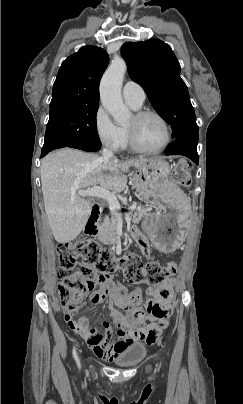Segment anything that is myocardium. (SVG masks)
Returning a JSON list of instances; mask_svg holds the SVG:
<instances>
[{
	"label": "myocardium",
	"instance_id": "obj_1",
	"mask_svg": "<svg viewBox=\"0 0 243 404\" xmlns=\"http://www.w3.org/2000/svg\"><path fill=\"white\" fill-rule=\"evenodd\" d=\"M147 115H155L164 123L166 131H167V138H166V141L164 142V144H162L161 146H159L157 148H147L138 141V139L136 138V136L134 135L133 131L130 128H128L126 126L125 131H126V134L128 136L130 143L136 150L143 152V153H159V152L165 150L170 145V143L172 141V135H173L172 127H171V124L168 121V119L161 112H159L155 109L143 108V109L137 110L134 113V117L136 119L142 118Z\"/></svg>",
	"mask_w": 243,
	"mask_h": 404
}]
</instances>
